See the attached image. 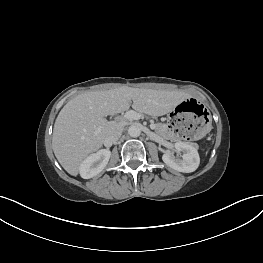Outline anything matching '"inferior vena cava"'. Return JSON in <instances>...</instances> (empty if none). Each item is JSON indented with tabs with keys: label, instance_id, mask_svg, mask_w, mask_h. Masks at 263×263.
Segmentation results:
<instances>
[{
	"label": "inferior vena cava",
	"instance_id": "obj_1",
	"mask_svg": "<svg viewBox=\"0 0 263 263\" xmlns=\"http://www.w3.org/2000/svg\"><path fill=\"white\" fill-rule=\"evenodd\" d=\"M123 128L117 127L109 132L106 141L116 143L122 135Z\"/></svg>",
	"mask_w": 263,
	"mask_h": 263
}]
</instances>
